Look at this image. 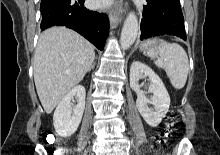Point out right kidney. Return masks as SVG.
<instances>
[{"instance_id":"obj_1","label":"right kidney","mask_w":220,"mask_h":155,"mask_svg":"<svg viewBox=\"0 0 220 155\" xmlns=\"http://www.w3.org/2000/svg\"><path fill=\"white\" fill-rule=\"evenodd\" d=\"M85 96L84 86L77 85L60 101L53 115V124L58 135L69 137L75 133L85 109ZM74 98L77 105L72 109L71 101Z\"/></svg>"}]
</instances>
